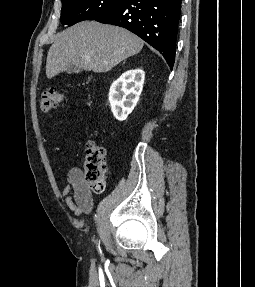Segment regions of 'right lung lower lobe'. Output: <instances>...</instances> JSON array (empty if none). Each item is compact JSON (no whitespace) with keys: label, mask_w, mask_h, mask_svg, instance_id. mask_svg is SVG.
I'll return each instance as SVG.
<instances>
[{"label":"right lung lower lobe","mask_w":255,"mask_h":287,"mask_svg":"<svg viewBox=\"0 0 255 287\" xmlns=\"http://www.w3.org/2000/svg\"><path fill=\"white\" fill-rule=\"evenodd\" d=\"M181 0H124L94 20L124 27L158 50L172 70Z\"/></svg>","instance_id":"obj_1"}]
</instances>
